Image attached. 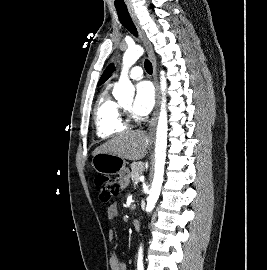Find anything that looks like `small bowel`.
Instances as JSON below:
<instances>
[{
	"label": "small bowel",
	"mask_w": 267,
	"mask_h": 270,
	"mask_svg": "<svg viewBox=\"0 0 267 270\" xmlns=\"http://www.w3.org/2000/svg\"><path fill=\"white\" fill-rule=\"evenodd\" d=\"M119 181L122 187H126L129 183V174L127 172L122 173ZM106 214L109 220H113L114 218H116V216L118 215L117 206L116 205L109 206L107 208ZM108 238L110 241L114 240V232L112 230H109ZM109 264H110L111 270H126V266L119 259L115 248L112 249L110 259H109Z\"/></svg>",
	"instance_id": "c3829d8e"
}]
</instances>
